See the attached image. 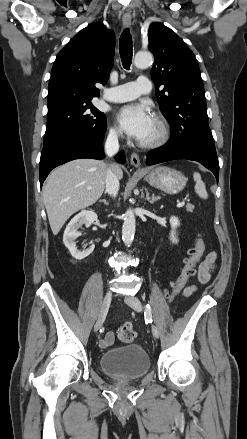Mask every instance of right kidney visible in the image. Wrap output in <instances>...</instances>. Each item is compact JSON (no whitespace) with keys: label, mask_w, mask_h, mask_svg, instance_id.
Wrapping results in <instances>:
<instances>
[{"label":"right kidney","mask_w":247,"mask_h":439,"mask_svg":"<svg viewBox=\"0 0 247 439\" xmlns=\"http://www.w3.org/2000/svg\"><path fill=\"white\" fill-rule=\"evenodd\" d=\"M95 220H97V214L92 210H83L67 225L64 235H63V243L70 251L72 257L77 260H82L90 255L95 246L91 245L90 248L80 251L76 247L75 240L81 235L78 229L84 224L86 226H90Z\"/></svg>","instance_id":"right-kidney-1"}]
</instances>
